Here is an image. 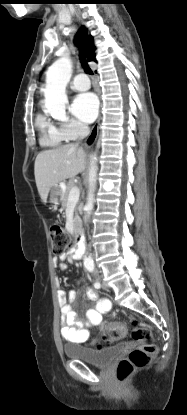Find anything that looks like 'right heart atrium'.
<instances>
[{
  "label": "right heart atrium",
  "instance_id": "obj_1",
  "mask_svg": "<svg viewBox=\"0 0 187 415\" xmlns=\"http://www.w3.org/2000/svg\"><path fill=\"white\" fill-rule=\"evenodd\" d=\"M60 129L68 141L77 139L86 131V127L74 119H68L62 122L60 124Z\"/></svg>",
  "mask_w": 187,
  "mask_h": 415
}]
</instances>
